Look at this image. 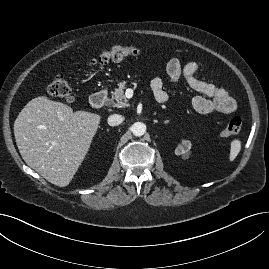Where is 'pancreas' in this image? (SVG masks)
<instances>
[{
  "mask_svg": "<svg viewBox=\"0 0 269 269\" xmlns=\"http://www.w3.org/2000/svg\"><path fill=\"white\" fill-rule=\"evenodd\" d=\"M126 88L125 82H121L119 87L112 92L111 99L108 100L107 105L112 107H126L128 106V101L124 94Z\"/></svg>",
  "mask_w": 269,
  "mask_h": 269,
  "instance_id": "cf45deb5",
  "label": "pancreas"
}]
</instances>
